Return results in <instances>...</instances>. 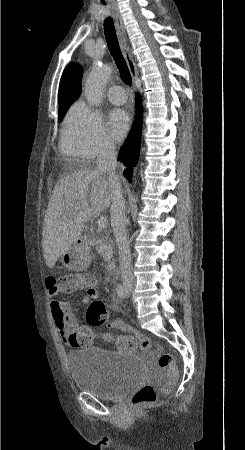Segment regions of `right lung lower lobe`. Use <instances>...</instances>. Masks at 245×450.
<instances>
[{
  "mask_svg": "<svg viewBox=\"0 0 245 450\" xmlns=\"http://www.w3.org/2000/svg\"><path fill=\"white\" fill-rule=\"evenodd\" d=\"M141 97L137 96V121L135 123V126L130 134V136L127 138L123 146L121 147L119 151V159L126 165V169L123 171V175L128 179L129 182H132V173H133V167L135 166L138 161V155H139V147H140V138H141Z\"/></svg>",
  "mask_w": 245,
  "mask_h": 450,
  "instance_id": "obj_1",
  "label": "right lung lower lobe"
}]
</instances>
